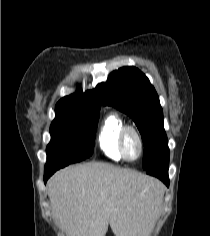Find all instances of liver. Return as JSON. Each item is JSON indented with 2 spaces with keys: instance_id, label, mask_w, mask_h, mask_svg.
Instances as JSON below:
<instances>
[{
  "instance_id": "1",
  "label": "liver",
  "mask_w": 210,
  "mask_h": 236,
  "mask_svg": "<svg viewBox=\"0 0 210 236\" xmlns=\"http://www.w3.org/2000/svg\"><path fill=\"white\" fill-rule=\"evenodd\" d=\"M164 187L142 173L107 163H85L55 173L48 182L52 213L67 236H149Z\"/></svg>"
}]
</instances>
